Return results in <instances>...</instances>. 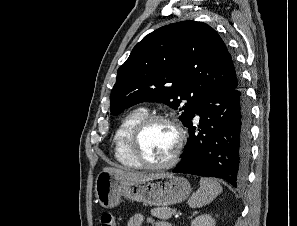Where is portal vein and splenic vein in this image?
I'll return each mask as SVG.
<instances>
[{
	"label": "portal vein and splenic vein",
	"mask_w": 297,
	"mask_h": 226,
	"mask_svg": "<svg viewBox=\"0 0 297 226\" xmlns=\"http://www.w3.org/2000/svg\"><path fill=\"white\" fill-rule=\"evenodd\" d=\"M172 212H173V214H176V210L175 209H173Z\"/></svg>",
	"instance_id": "18ae733b"
}]
</instances>
